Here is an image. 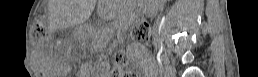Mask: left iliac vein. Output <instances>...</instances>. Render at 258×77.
Wrapping results in <instances>:
<instances>
[{
  "mask_svg": "<svg viewBox=\"0 0 258 77\" xmlns=\"http://www.w3.org/2000/svg\"><path fill=\"white\" fill-rule=\"evenodd\" d=\"M164 73L167 77H174L176 75V68L167 63L164 68Z\"/></svg>",
  "mask_w": 258,
  "mask_h": 77,
  "instance_id": "4c4485c4",
  "label": "left iliac vein"
}]
</instances>
